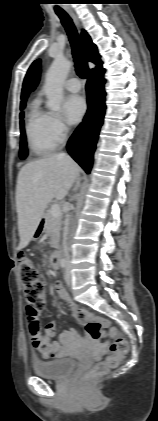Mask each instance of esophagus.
<instances>
[{"label": "esophagus", "mask_w": 158, "mask_h": 421, "mask_svg": "<svg viewBox=\"0 0 158 421\" xmlns=\"http://www.w3.org/2000/svg\"><path fill=\"white\" fill-rule=\"evenodd\" d=\"M71 15H72L74 21L76 22V24H79L77 17L73 13Z\"/></svg>", "instance_id": "esophagus-1"}]
</instances>
